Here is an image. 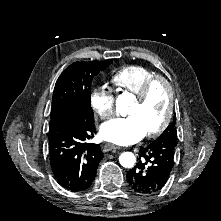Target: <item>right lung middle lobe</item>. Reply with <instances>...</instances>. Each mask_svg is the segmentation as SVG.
Listing matches in <instances>:
<instances>
[{"label":"right lung middle lobe","mask_w":221,"mask_h":221,"mask_svg":"<svg viewBox=\"0 0 221 221\" xmlns=\"http://www.w3.org/2000/svg\"><path fill=\"white\" fill-rule=\"evenodd\" d=\"M112 60L74 62L59 76L55 84L51 121L66 114L82 115L93 120L90 106L91 83L95 75L106 69Z\"/></svg>","instance_id":"1"}]
</instances>
